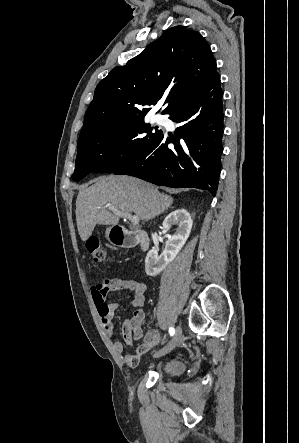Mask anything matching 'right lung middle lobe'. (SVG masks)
Wrapping results in <instances>:
<instances>
[{"mask_svg":"<svg viewBox=\"0 0 299 443\" xmlns=\"http://www.w3.org/2000/svg\"><path fill=\"white\" fill-rule=\"evenodd\" d=\"M161 133H152L141 117L106 125L80 137L72 179L79 181L91 172L121 169L140 158Z\"/></svg>","mask_w":299,"mask_h":443,"instance_id":"obj_1","label":"right lung middle lobe"}]
</instances>
